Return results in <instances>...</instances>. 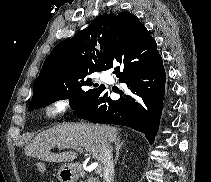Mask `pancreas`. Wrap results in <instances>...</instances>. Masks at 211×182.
<instances>
[{"label":"pancreas","mask_w":211,"mask_h":182,"mask_svg":"<svg viewBox=\"0 0 211 182\" xmlns=\"http://www.w3.org/2000/svg\"><path fill=\"white\" fill-rule=\"evenodd\" d=\"M85 182H99V179L92 175Z\"/></svg>","instance_id":"1"}]
</instances>
